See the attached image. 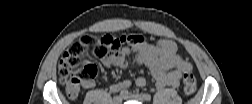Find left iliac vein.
<instances>
[{"label": "left iliac vein", "mask_w": 252, "mask_h": 104, "mask_svg": "<svg viewBox=\"0 0 252 104\" xmlns=\"http://www.w3.org/2000/svg\"><path fill=\"white\" fill-rule=\"evenodd\" d=\"M125 98L137 100V101H140V102H143V101H144L143 96L140 95V94H138V93L129 94V95H127Z\"/></svg>", "instance_id": "obj_1"}]
</instances>
